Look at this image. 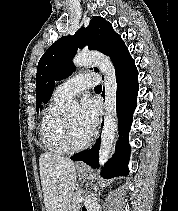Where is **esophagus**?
Wrapping results in <instances>:
<instances>
[{
  "label": "esophagus",
  "instance_id": "34e87169",
  "mask_svg": "<svg viewBox=\"0 0 178 211\" xmlns=\"http://www.w3.org/2000/svg\"><path fill=\"white\" fill-rule=\"evenodd\" d=\"M86 165H85V163H83V162H78L77 163V167L78 168H82V167H85Z\"/></svg>",
  "mask_w": 178,
  "mask_h": 211
}]
</instances>
